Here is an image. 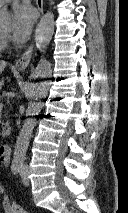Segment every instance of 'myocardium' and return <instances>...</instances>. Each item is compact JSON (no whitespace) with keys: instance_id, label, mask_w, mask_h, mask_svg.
<instances>
[{"instance_id":"1","label":"myocardium","mask_w":128,"mask_h":213,"mask_svg":"<svg viewBox=\"0 0 128 213\" xmlns=\"http://www.w3.org/2000/svg\"><path fill=\"white\" fill-rule=\"evenodd\" d=\"M1 35H2V36H6V34H5V33H3V32L1 33Z\"/></svg>"}]
</instances>
